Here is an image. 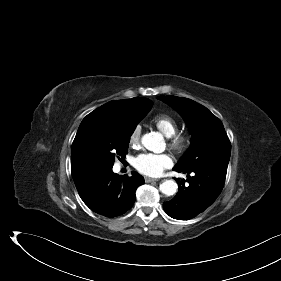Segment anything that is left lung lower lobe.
<instances>
[{
	"instance_id": "left-lung-lower-lobe-1",
	"label": "left lung lower lobe",
	"mask_w": 281,
	"mask_h": 281,
	"mask_svg": "<svg viewBox=\"0 0 281 281\" xmlns=\"http://www.w3.org/2000/svg\"><path fill=\"white\" fill-rule=\"evenodd\" d=\"M174 171L188 174L189 183L176 179L179 192L163 204L165 212L178 220H189L205 211L219 196L225 183L227 166L202 165L193 169L173 168Z\"/></svg>"
}]
</instances>
